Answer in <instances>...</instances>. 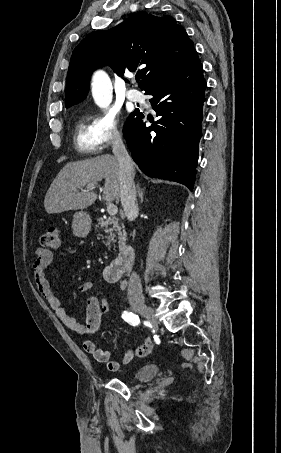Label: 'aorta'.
Here are the masks:
<instances>
[{
    "instance_id": "obj_1",
    "label": "aorta",
    "mask_w": 281,
    "mask_h": 453,
    "mask_svg": "<svg viewBox=\"0 0 281 453\" xmlns=\"http://www.w3.org/2000/svg\"><path fill=\"white\" fill-rule=\"evenodd\" d=\"M113 87L109 76L102 70L94 73L92 78V96L100 108H106L112 102Z\"/></svg>"
}]
</instances>
